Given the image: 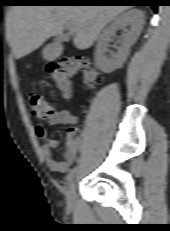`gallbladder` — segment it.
Segmentation results:
<instances>
[{"label":"gallbladder","instance_id":"1","mask_svg":"<svg viewBox=\"0 0 170 231\" xmlns=\"http://www.w3.org/2000/svg\"><path fill=\"white\" fill-rule=\"evenodd\" d=\"M65 38H68L67 36H64V35H61L60 37H59V39H65Z\"/></svg>","mask_w":170,"mask_h":231}]
</instances>
